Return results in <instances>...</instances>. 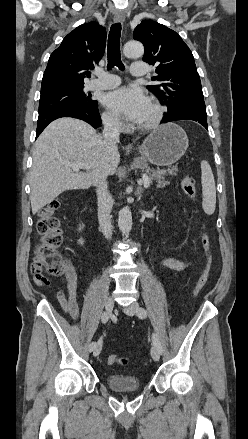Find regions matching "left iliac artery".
Segmentation results:
<instances>
[{
    "label": "left iliac artery",
    "instance_id": "1",
    "mask_svg": "<svg viewBox=\"0 0 248 439\" xmlns=\"http://www.w3.org/2000/svg\"><path fill=\"white\" fill-rule=\"evenodd\" d=\"M139 312H140V314H142L143 316H146V315H147V311L144 310L143 308H141V309L139 310ZM152 339H153V344L157 347V349L159 350L160 354H162V353H163V348H162V346H161V344H160V341H159V339H158V336H157L156 334H153Z\"/></svg>",
    "mask_w": 248,
    "mask_h": 439
}]
</instances>
